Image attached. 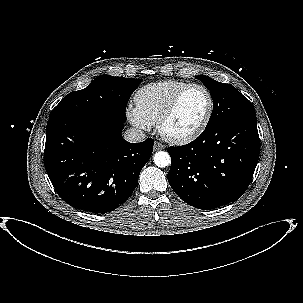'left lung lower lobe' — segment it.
<instances>
[{"mask_svg": "<svg viewBox=\"0 0 303 303\" xmlns=\"http://www.w3.org/2000/svg\"><path fill=\"white\" fill-rule=\"evenodd\" d=\"M260 152L256 115L206 127L193 142L169 147L175 193L199 209L236 201L248 188Z\"/></svg>", "mask_w": 303, "mask_h": 303, "instance_id": "obj_1", "label": "left lung lower lobe"}]
</instances>
